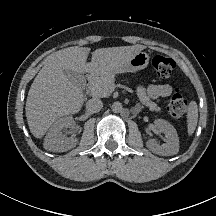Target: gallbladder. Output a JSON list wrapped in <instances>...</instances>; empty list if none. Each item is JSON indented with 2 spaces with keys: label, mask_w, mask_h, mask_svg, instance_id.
<instances>
[{
  "label": "gallbladder",
  "mask_w": 216,
  "mask_h": 216,
  "mask_svg": "<svg viewBox=\"0 0 216 216\" xmlns=\"http://www.w3.org/2000/svg\"><path fill=\"white\" fill-rule=\"evenodd\" d=\"M64 74L66 77L73 83L78 84L79 86L84 80V77L81 73L71 71V70H64Z\"/></svg>",
  "instance_id": "obj_1"
}]
</instances>
